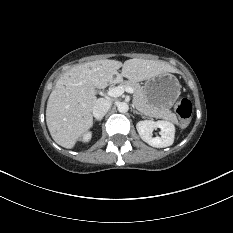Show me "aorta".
I'll return each mask as SVG.
<instances>
[{"label": "aorta", "mask_w": 233, "mask_h": 233, "mask_svg": "<svg viewBox=\"0 0 233 233\" xmlns=\"http://www.w3.org/2000/svg\"><path fill=\"white\" fill-rule=\"evenodd\" d=\"M117 109L121 113H126L129 109V106L126 102H119L117 105Z\"/></svg>", "instance_id": "obj_1"}]
</instances>
